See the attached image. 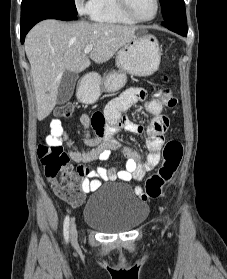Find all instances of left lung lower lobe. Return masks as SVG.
Masks as SVG:
<instances>
[{
	"label": "left lung lower lobe",
	"instance_id": "1",
	"mask_svg": "<svg viewBox=\"0 0 227 279\" xmlns=\"http://www.w3.org/2000/svg\"><path fill=\"white\" fill-rule=\"evenodd\" d=\"M162 25L169 30L181 35L187 36V19L178 20V19H169L164 20Z\"/></svg>",
	"mask_w": 227,
	"mask_h": 279
}]
</instances>
